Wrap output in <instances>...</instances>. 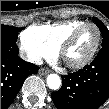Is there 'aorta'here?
<instances>
[{
	"label": "aorta",
	"mask_w": 109,
	"mask_h": 109,
	"mask_svg": "<svg viewBox=\"0 0 109 109\" xmlns=\"http://www.w3.org/2000/svg\"><path fill=\"white\" fill-rule=\"evenodd\" d=\"M47 85L52 90H58L61 86V78L57 74H49L47 76Z\"/></svg>",
	"instance_id": "obj_1"
}]
</instances>
